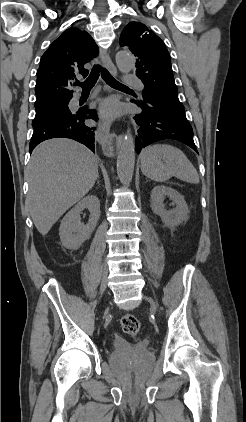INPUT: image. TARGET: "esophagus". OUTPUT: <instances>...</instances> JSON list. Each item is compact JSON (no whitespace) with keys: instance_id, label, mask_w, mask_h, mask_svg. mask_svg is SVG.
<instances>
[{"instance_id":"1","label":"esophagus","mask_w":246,"mask_h":422,"mask_svg":"<svg viewBox=\"0 0 246 422\" xmlns=\"http://www.w3.org/2000/svg\"><path fill=\"white\" fill-rule=\"evenodd\" d=\"M101 60L104 67L113 75H116V67L113 64L109 53L106 50L100 51ZM111 121H103L97 130V140L102 145L103 151L106 154H112L116 147L120 144V139L111 133Z\"/></svg>"}]
</instances>
